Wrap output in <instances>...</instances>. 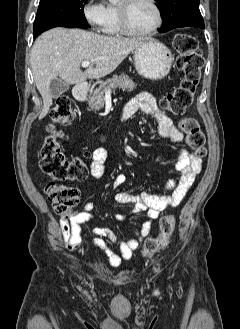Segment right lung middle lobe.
Returning <instances> with one entry per match:
<instances>
[{"label": "right lung middle lobe", "instance_id": "dd1d6c3e", "mask_svg": "<svg viewBox=\"0 0 240 329\" xmlns=\"http://www.w3.org/2000/svg\"><path fill=\"white\" fill-rule=\"evenodd\" d=\"M88 0H40L34 36L53 27L88 28L84 5Z\"/></svg>", "mask_w": 240, "mask_h": 329}]
</instances>
